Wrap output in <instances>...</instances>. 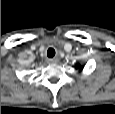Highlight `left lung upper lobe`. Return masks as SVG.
<instances>
[{
	"instance_id": "left-lung-upper-lobe-1",
	"label": "left lung upper lobe",
	"mask_w": 115,
	"mask_h": 114,
	"mask_svg": "<svg viewBox=\"0 0 115 114\" xmlns=\"http://www.w3.org/2000/svg\"><path fill=\"white\" fill-rule=\"evenodd\" d=\"M77 69H79V71L82 70L83 66H80L79 64L76 66Z\"/></svg>"
}]
</instances>
